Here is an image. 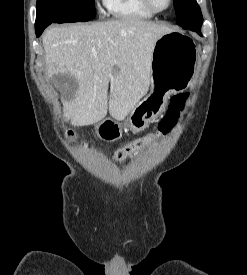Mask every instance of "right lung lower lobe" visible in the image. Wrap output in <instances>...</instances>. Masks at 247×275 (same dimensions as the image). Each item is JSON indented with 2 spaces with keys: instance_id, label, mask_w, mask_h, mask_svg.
Wrapping results in <instances>:
<instances>
[{
  "instance_id": "1",
  "label": "right lung lower lobe",
  "mask_w": 247,
  "mask_h": 275,
  "mask_svg": "<svg viewBox=\"0 0 247 275\" xmlns=\"http://www.w3.org/2000/svg\"><path fill=\"white\" fill-rule=\"evenodd\" d=\"M48 25H35L36 36L39 37Z\"/></svg>"
}]
</instances>
